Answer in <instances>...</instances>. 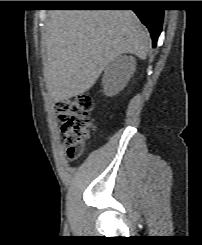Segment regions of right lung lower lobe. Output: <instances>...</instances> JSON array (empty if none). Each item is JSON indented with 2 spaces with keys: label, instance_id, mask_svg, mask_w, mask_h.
<instances>
[{
  "label": "right lung lower lobe",
  "instance_id": "1",
  "mask_svg": "<svg viewBox=\"0 0 202 245\" xmlns=\"http://www.w3.org/2000/svg\"><path fill=\"white\" fill-rule=\"evenodd\" d=\"M82 6H97V7H106V6H122L120 4H105V3H82ZM133 11L140 18L141 22L148 28L153 42V47H156L158 37L162 31L163 24V15L164 10L161 9H152L147 7V1H135L133 3Z\"/></svg>",
  "mask_w": 202,
  "mask_h": 245
}]
</instances>
